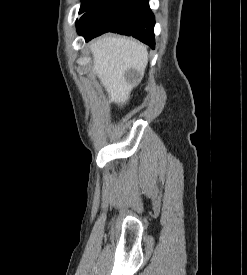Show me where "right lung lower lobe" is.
I'll use <instances>...</instances> for the list:
<instances>
[{"instance_id":"98d812e1","label":"right lung lower lobe","mask_w":247,"mask_h":275,"mask_svg":"<svg viewBox=\"0 0 247 275\" xmlns=\"http://www.w3.org/2000/svg\"><path fill=\"white\" fill-rule=\"evenodd\" d=\"M154 25L148 0H106L77 21V31L86 41L105 32H116L133 36L154 48Z\"/></svg>"}]
</instances>
